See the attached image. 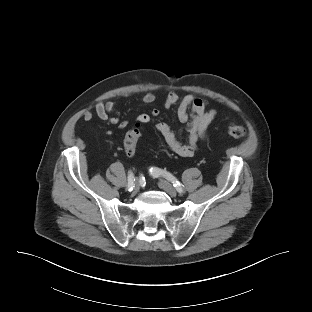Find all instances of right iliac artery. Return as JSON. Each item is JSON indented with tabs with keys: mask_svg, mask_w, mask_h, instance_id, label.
<instances>
[{
	"mask_svg": "<svg viewBox=\"0 0 312 312\" xmlns=\"http://www.w3.org/2000/svg\"><path fill=\"white\" fill-rule=\"evenodd\" d=\"M134 181H135V178H134L133 173L129 172V175H128V185H127V190L128 191H132L133 190Z\"/></svg>",
	"mask_w": 312,
	"mask_h": 312,
	"instance_id": "1",
	"label": "right iliac artery"
}]
</instances>
